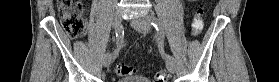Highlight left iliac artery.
I'll list each match as a JSON object with an SVG mask.
<instances>
[{
	"mask_svg": "<svg viewBox=\"0 0 279 82\" xmlns=\"http://www.w3.org/2000/svg\"><path fill=\"white\" fill-rule=\"evenodd\" d=\"M147 21L156 29L158 48L163 58H165L167 61H174V58L171 55H168L164 52V31L159 20L155 16H149L147 17Z\"/></svg>",
	"mask_w": 279,
	"mask_h": 82,
	"instance_id": "left-iliac-artery-1",
	"label": "left iliac artery"
}]
</instances>
